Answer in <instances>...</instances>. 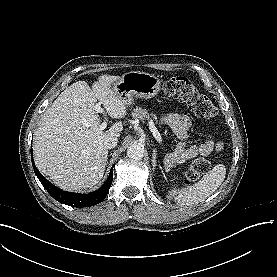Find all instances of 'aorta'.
Masks as SVG:
<instances>
[{"label":"aorta","mask_w":277,"mask_h":277,"mask_svg":"<svg viewBox=\"0 0 277 277\" xmlns=\"http://www.w3.org/2000/svg\"><path fill=\"white\" fill-rule=\"evenodd\" d=\"M144 146L141 144H132L127 149V156L132 160H140L144 155Z\"/></svg>","instance_id":"1"}]
</instances>
